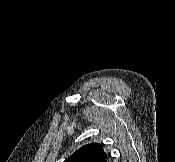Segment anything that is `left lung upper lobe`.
<instances>
[{
  "instance_id": "5c2ea615",
  "label": "left lung upper lobe",
  "mask_w": 175,
  "mask_h": 162,
  "mask_svg": "<svg viewBox=\"0 0 175 162\" xmlns=\"http://www.w3.org/2000/svg\"><path fill=\"white\" fill-rule=\"evenodd\" d=\"M64 162H106V153L98 143L82 146Z\"/></svg>"
}]
</instances>
